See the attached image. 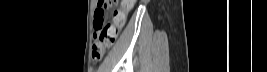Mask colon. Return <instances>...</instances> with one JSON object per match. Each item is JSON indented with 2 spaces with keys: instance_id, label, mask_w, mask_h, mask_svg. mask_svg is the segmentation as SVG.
Returning a JSON list of instances; mask_svg holds the SVG:
<instances>
[{
  "instance_id": "1",
  "label": "colon",
  "mask_w": 267,
  "mask_h": 72,
  "mask_svg": "<svg viewBox=\"0 0 267 72\" xmlns=\"http://www.w3.org/2000/svg\"><path fill=\"white\" fill-rule=\"evenodd\" d=\"M119 3L117 0H100L99 7L95 11V19L93 21L94 28V44L92 47V58L94 61H98L102 58L104 50L111 47L118 36L120 27L115 22L105 23L104 15L105 11L112 6ZM124 1H122L123 5ZM124 14L123 6L114 10V17H118Z\"/></svg>"
}]
</instances>
